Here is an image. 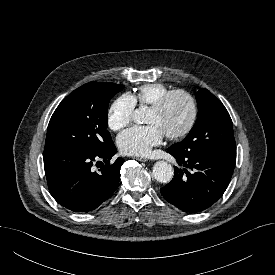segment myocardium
I'll list each match as a JSON object with an SVG mask.
<instances>
[{"label":"myocardium","instance_id":"myocardium-1","mask_svg":"<svg viewBox=\"0 0 275 275\" xmlns=\"http://www.w3.org/2000/svg\"><path fill=\"white\" fill-rule=\"evenodd\" d=\"M176 96H182L188 101L190 107V115L186 125L181 130L165 134V136L171 140H178L186 137L193 130L198 117V105L196 99L189 91L184 89L170 90L169 92L164 94L157 102H155L151 106V109L156 111L164 110L169 101Z\"/></svg>","mask_w":275,"mask_h":275}]
</instances>
